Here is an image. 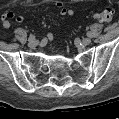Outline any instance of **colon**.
<instances>
[{
  "label": "colon",
  "instance_id": "colon-1",
  "mask_svg": "<svg viewBox=\"0 0 119 119\" xmlns=\"http://www.w3.org/2000/svg\"><path fill=\"white\" fill-rule=\"evenodd\" d=\"M98 20L104 23H110L114 18V11L111 8H106L97 14Z\"/></svg>",
  "mask_w": 119,
  "mask_h": 119
}]
</instances>
